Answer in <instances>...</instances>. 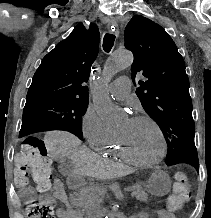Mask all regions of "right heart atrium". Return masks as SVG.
<instances>
[{"instance_id":"1","label":"right heart atrium","mask_w":211,"mask_h":218,"mask_svg":"<svg viewBox=\"0 0 211 218\" xmlns=\"http://www.w3.org/2000/svg\"><path fill=\"white\" fill-rule=\"evenodd\" d=\"M81 130L90 146L96 150L114 137V134L106 129L100 115L90 107L82 116Z\"/></svg>"}]
</instances>
